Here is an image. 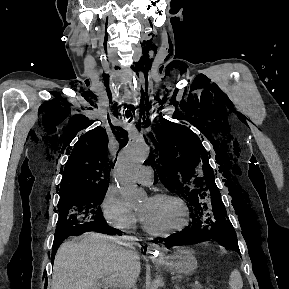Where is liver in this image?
I'll use <instances>...</instances> for the list:
<instances>
[{"label":"liver","mask_w":289,"mask_h":289,"mask_svg":"<svg viewBox=\"0 0 289 289\" xmlns=\"http://www.w3.org/2000/svg\"><path fill=\"white\" fill-rule=\"evenodd\" d=\"M129 249L110 236L86 233L79 242L66 241L57 250L51 289H101L105 280L120 286L140 274L139 257L132 262Z\"/></svg>","instance_id":"6515ba94"}]
</instances>
